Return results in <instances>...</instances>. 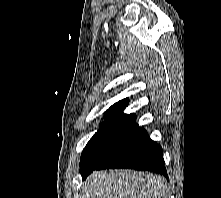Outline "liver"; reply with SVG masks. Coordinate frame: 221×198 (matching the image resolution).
Masks as SVG:
<instances>
[{
    "mask_svg": "<svg viewBox=\"0 0 221 198\" xmlns=\"http://www.w3.org/2000/svg\"><path fill=\"white\" fill-rule=\"evenodd\" d=\"M90 198H167L161 177L131 170L95 171L88 180Z\"/></svg>",
    "mask_w": 221,
    "mask_h": 198,
    "instance_id": "6515ba94",
    "label": "liver"
}]
</instances>
